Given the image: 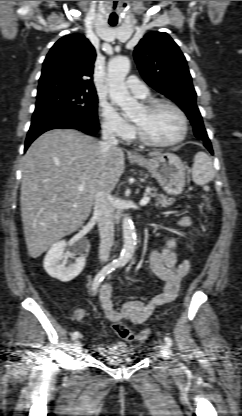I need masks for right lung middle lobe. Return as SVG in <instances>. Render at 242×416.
Masks as SVG:
<instances>
[{
    "instance_id": "dd1d6c3e",
    "label": "right lung middle lobe",
    "mask_w": 242,
    "mask_h": 416,
    "mask_svg": "<svg viewBox=\"0 0 242 416\" xmlns=\"http://www.w3.org/2000/svg\"><path fill=\"white\" fill-rule=\"evenodd\" d=\"M98 98L96 92L73 89H59L38 95L32 121L45 115H60L81 120L85 123L98 122Z\"/></svg>"
}]
</instances>
